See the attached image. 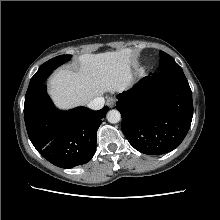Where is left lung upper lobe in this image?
I'll use <instances>...</instances> for the list:
<instances>
[{"label":"left lung upper lobe","mask_w":220,"mask_h":220,"mask_svg":"<svg viewBox=\"0 0 220 220\" xmlns=\"http://www.w3.org/2000/svg\"><path fill=\"white\" fill-rule=\"evenodd\" d=\"M159 69L164 71H182V68L167 53L160 51Z\"/></svg>","instance_id":"left-lung-upper-lobe-1"}]
</instances>
